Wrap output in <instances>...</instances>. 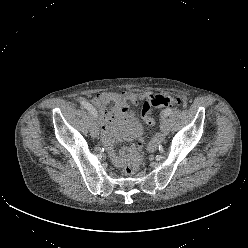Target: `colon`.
Wrapping results in <instances>:
<instances>
[{"label":"colon","instance_id":"obj_1","mask_svg":"<svg viewBox=\"0 0 248 248\" xmlns=\"http://www.w3.org/2000/svg\"><path fill=\"white\" fill-rule=\"evenodd\" d=\"M159 106H185V101L181 98H174L170 96L165 95H152L148 97L142 108V118L144 122L148 125H152L155 122L154 116H153V108L159 107ZM140 166V158L135 157L128 161L124 168V173L128 176L134 175L138 170Z\"/></svg>","mask_w":248,"mask_h":248}]
</instances>
